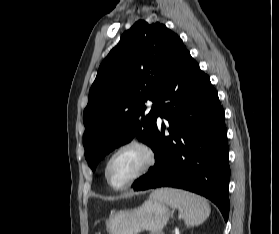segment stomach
Returning <instances> with one entry per match:
<instances>
[{
  "label": "stomach",
  "mask_w": 279,
  "mask_h": 234,
  "mask_svg": "<svg viewBox=\"0 0 279 234\" xmlns=\"http://www.w3.org/2000/svg\"><path fill=\"white\" fill-rule=\"evenodd\" d=\"M170 210L164 202L150 198L140 207L113 212L106 222L109 234H138L147 230L158 234L167 224Z\"/></svg>",
  "instance_id": "obj_1"
}]
</instances>
